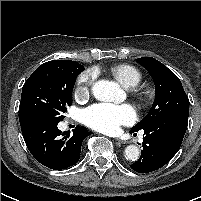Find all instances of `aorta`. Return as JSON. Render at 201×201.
Masks as SVG:
<instances>
[{
    "label": "aorta",
    "instance_id": "aorta-1",
    "mask_svg": "<svg viewBox=\"0 0 201 201\" xmlns=\"http://www.w3.org/2000/svg\"><path fill=\"white\" fill-rule=\"evenodd\" d=\"M120 93L118 85L107 80H99L92 86V94L99 101H113ZM127 160L136 161L140 156L136 145H129L124 151Z\"/></svg>",
    "mask_w": 201,
    "mask_h": 201
}]
</instances>
